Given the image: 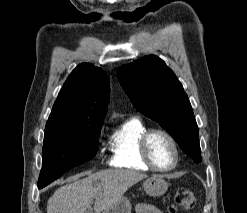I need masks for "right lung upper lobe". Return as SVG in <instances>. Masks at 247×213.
<instances>
[{
	"instance_id": "cb5924a9",
	"label": "right lung upper lobe",
	"mask_w": 247,
	"mask_h": 213,
	"mask_svg": "<svg viewBox=\"0 0 247 213\" xmlns=\"http://www.w3.org/2000/svg\"><path fill=\"white\" fill-rule=\"evenodd\" d=\"M109 92V79L102 69L88 63L78 65L64 83L46 127L102 126Z\"/></svg>"
}]
</instances>
